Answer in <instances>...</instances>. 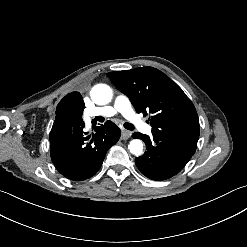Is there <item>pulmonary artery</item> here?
Masks as SVG:
<instances>
[{
    "mask_svg": "<svg viewBox=\"0 0 247 247\" xmlns=\"http://www.w3.org/2000/svg\"><path fill=\"white\" fill-rule=\"evenodd\" d=\"M118 113L122 114L125 118L134 121V125H136L135 127L139 132L142 131L145 134H152V126L149 124L144 125V120L135 112L131 99L127 95L121 93L116 95L111 105L86 109L84 111L83 120L86 126H90L92 119L97 116L113 117Z\"/></svg>",
    "mask_w": 247,
    "mask_h": 247,
    "instance_id": "obj_1",
    "label": "pulmonary artery"
}]
</instances>
